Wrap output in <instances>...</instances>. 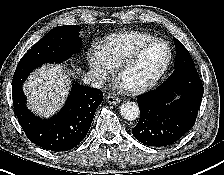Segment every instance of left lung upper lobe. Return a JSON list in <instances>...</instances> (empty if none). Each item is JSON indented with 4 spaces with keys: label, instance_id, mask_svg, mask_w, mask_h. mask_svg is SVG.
Masks as SVG:
<instances>
[{
    "label": "left lung upper lobe",
    "instance_id": "left-lung-upper-lobe-1",
    "mask_svg": "<svg viewBox=\"0 0 224 175\" xmlns=\"http://www.w3.org/2000/svg\"><path fill=\"white\" fill-rule=\"evenodd\" d=\"M174 44L176 48V59L174 67H179L182 65H195L194 61L189 54V51L183 46V44L174 38Z\"/></svg>",
    "mask_w": 224,
    "mask_h": 175
}]
</instances>
